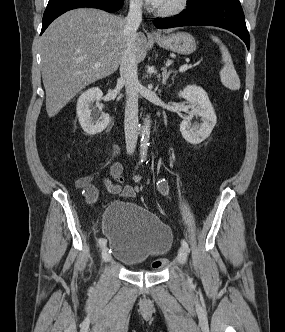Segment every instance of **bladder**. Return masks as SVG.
I'll return each instance as SVG.
<instances>
[{
    "label": "bladder",
    "mask_w": 285,
    "mask_h": 332,
    "mask_svg": "<svg viewBox=\"0 0 285 332\" xmlns=\"http://www.w3.org/2000/svg\"><path fill=\"white\" fill-rule=\"evenodd\" d=\"M103 231L110 255L127 266L167 250L172 240L170 229L157 216L128 202H115L107 208Z\"/></svg>",
    "instance_id": "31cf9c89"
}]
</instances>
